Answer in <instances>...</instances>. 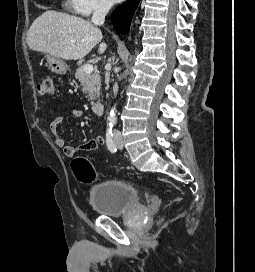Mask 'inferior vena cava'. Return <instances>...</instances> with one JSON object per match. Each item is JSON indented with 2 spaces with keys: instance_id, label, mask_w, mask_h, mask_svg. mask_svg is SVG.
<instances>
[{
  "instance_id": "obj_1",
  "label": "inferior vena cava",
  "mask_w": 255,
  "mask_h": 272,
  "mask_svg": "<svg viewBox=\"0 0 255 272\" xmlns=\"http://www.w3.org/2000/svg\"><path fill=\"white\" fill-rule=\"evenodd\" d=\"M111 8V2L109 0H100L97 4L93 16H92V23L95 25H102L105 21V16L109 12ZM115 133H119L118 131H114Z\"/></svg>"
}]
</instances>
